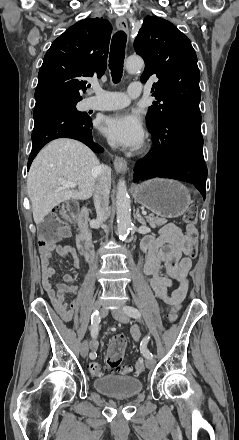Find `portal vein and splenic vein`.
<instances>
[{
    "label": "portal vein and splenic vein",
    "instance_id": "obj_1",
    "mask_svg": "<svg viewBox=\"0 0 239 440\" xmlns=\"http://www.w3.org/2000/svg\"><path fill=\"white\" fill-rule=\"evenodd\" d=\"M59 182H60L61 186H63V188H76V186H77V184H74V182H66V180H62V178H59ZM142 214H144V216H146L147 211L142 210Z\"/></svg>",
    "mask_w": 239,
    "mask_h": 440
}]
</instances>
